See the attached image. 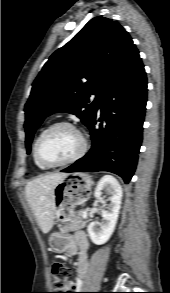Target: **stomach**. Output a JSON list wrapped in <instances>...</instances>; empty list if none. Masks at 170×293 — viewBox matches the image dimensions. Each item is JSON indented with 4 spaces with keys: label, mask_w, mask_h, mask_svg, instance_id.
Returning <instances> with one entry per match:
<instances>
[{
    "label": "stomach",
    "mask_w": 170,
    "mask_h": 293,
    "mask_svg": "<svg viewBox=\"0 0 170 293\" xmlns=\"http://www.w3.org/2000/svg\"><path fill=\"white\" fill-rule=\"evenodd\" d=\"M92 179L88 174H67L54 189V213L57 222L65 223L75 214V207L84 204L91 195ZM50 243L57 252L68 248V238L63 233H53Z\"/></svg>",
    "instance_id": "obj_1"
}]
</instances>
